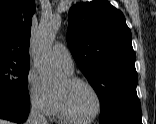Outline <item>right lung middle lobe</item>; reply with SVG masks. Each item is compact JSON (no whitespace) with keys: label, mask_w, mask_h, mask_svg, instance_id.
Instances as JSON below:
<instances>
[{"label":"right lung middle lobe","mask_w":156,"mask_h":124,"mask_svg":"<svg viewBox=\"0 0 156 124\" xmlns=\"http://www.w3.org/2000/svg\"><path fill=\"white\" fill-rule=\"evenodd\" d=\"M29 64L0 62V93L29 101Z\"/></svg>","instance_id":"right-lung-middle-lobe-1"}]
</instances>
